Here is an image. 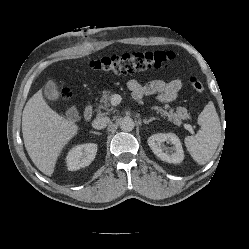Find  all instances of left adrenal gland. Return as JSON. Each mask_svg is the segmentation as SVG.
Here are the masks:
<instances>
[{
    "label": "left adrenal gland",
    "instance_id": "left-adrenal-gland-1",
    "mask_svg": "<svg viewBox=\"0 0 249 249\" xmlns=\"http://www.w3.org/2000/svg\"><path fill=\"white\" fill-rule=\"evenodd\" d=\"M157 118H155V117H152V118H150V119H143V123L144 124H149L150 122H152L153 120H156Z\"/></svg>",
    "mask_w": 249,
    "mask_h": 249
}]
</instances>
